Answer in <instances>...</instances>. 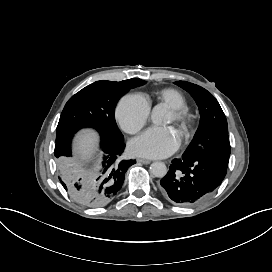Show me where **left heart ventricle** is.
Returning <instances> with one entry per match:
<instances>
[{"instance_id":"left-heart-ventricle-1","label":"left heart ventricle","mask_w":272,"mask_h":272,"mask_svg":"<svg viewBox=\"0 0 272 272\" xmlns=\"http://www.w3.org/2000/svg\"><path fill=\"white\" fill-rule=\"evenodd\" d=\"M174 122V115L170 112L167 123Z\"/></svg>"}]
</instances>
